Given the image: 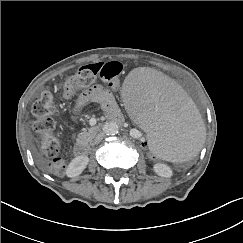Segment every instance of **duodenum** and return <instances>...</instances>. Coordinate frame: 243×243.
Listing matches in <instances>:
<instances>
[{
  "mask_svg": "<svg viewBox=\"0 0 243 243\" xmlns=\"http://www.w3.org/2000/svg\"><path fill=\"white\" fill-rule=\"evenodd\" d=\"M114 118L119 122L124 121L123 117L119 114H116ZM88 149H89L88 144L85 142H79L74 146V151L79 156L87 154Z\"/></svg>",
  "mask_w": 243,
  "mask_h": 243,
  "instance_id": "obj_1",
  "label": "duodenum"
}]
</instances>
